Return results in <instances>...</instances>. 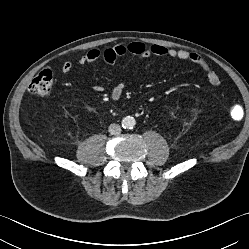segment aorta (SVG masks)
Returning a JSON list of instances; mask_svg holds the SVG:
<instances>
[{"mask_svg": "<svg viewBox=\"0 0 249 249\" xmlns=\"http://www.w3.org/2000/svg\"><path fill=\"white\" fill-rule=\"evenodd\" d=\"M136 125V120L132 116H126L122 120V126L125 129H132Z\"/></svg>", "mask_w": 249, "mask_h": 249, "instance_id": "1", "label": "aorta"}]
</instances>
